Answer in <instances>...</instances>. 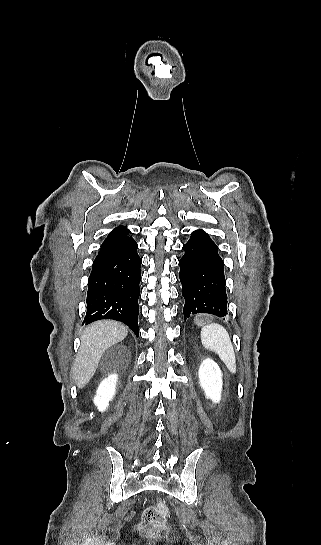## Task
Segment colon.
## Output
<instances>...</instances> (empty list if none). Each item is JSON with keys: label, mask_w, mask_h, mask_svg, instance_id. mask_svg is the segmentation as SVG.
Returning <instances> with one entry per match:
<instances>
[{"label": "colon", "mask_w": 321, "mask_h": 545, "mask_svg": "<svg viewBox=\"0 0 321 545\" xmlns=\"http://www.w3.org/2000/svg\"><path fill=\"white\" fill-rule=\"evenodd\" d=\"M167 517L168 509L164 503L159 502L156 505L148 507L142 514L141 532L151 538L163 537L167 532L165 526Z\"/></svg>", "instance_id": "colon-1"}]
</instances>
